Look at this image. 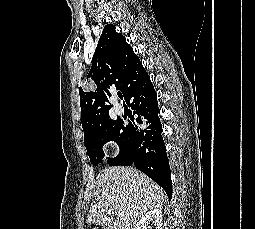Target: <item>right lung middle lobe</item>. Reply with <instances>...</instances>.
Wrapping results in <instances>:
<instances>
[{"mask_svg":"<svg viewBox=\"0 0 255 229\" xmlns=\"http://www.w3.org/2000/svg\"><path fill=\"white\" fill-rule=\"evenodd\" d=\"M109 141H115L120 148L119 155L108 160L110 166L118 165L123 159L131 156L132 141L127 126H123L122 120H112L110 118L102 123L88 140L84 141L93 165H97L102 161L104 158L102 147Z\"/></svg>","mask_w":255,"mask_h":229,"instance_id":"dd1d6c3e","label":"right lung middle lobe"}]
</instances>
